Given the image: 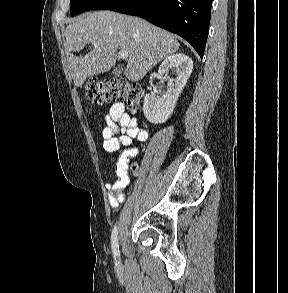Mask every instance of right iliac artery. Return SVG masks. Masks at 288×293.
<instances>
[{"instance_id": "82829eb1", "label": "right iliac artery", "mask_w": 288, "mask_h": 293, "mask_svg": "<svg viewBox=\"0 0 288 293\" xmlns=\"http://www.w3.org/2000/svg\"><path fill=\"white\" fill-rule=\"evenodd\" d=\"M111 244H112V250L114 253V258L117 262L119 259L118 227L117 226H115L112 231Z\"/></svg>"}]
</instances>
